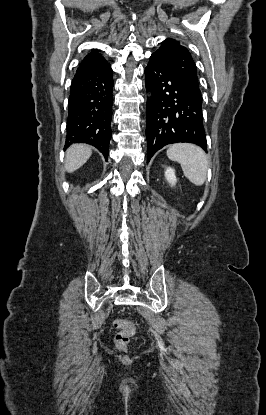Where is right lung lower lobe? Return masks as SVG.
<instances>
[{"instance_id":"obj_1","label":"right lung lower lobe","mask_w":266,"mask_h":415,"mask_svg":"<svg viewBox=\"0 0 266 415\" xmlns=\"http://www.w3.org/2000/svg\"><path fill=\"white\" fill-rule=\"evenodd\" d=\"M113 85L109 65L74 77L68 102L65 148L73 143H87L96 147L107 159Z\"/></svg>"}]
</instances>
